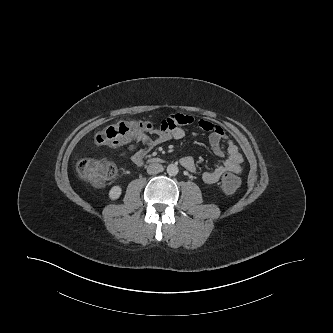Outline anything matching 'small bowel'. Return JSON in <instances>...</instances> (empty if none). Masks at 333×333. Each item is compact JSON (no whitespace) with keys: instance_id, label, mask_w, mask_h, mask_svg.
<instances>
[{"instance_id":"obj_1","label":"small bowel","mask_w":333,"mask_h":333,"mask_svg":"<svg viewBox=\"0 0 333 333\" xmlns=\"http://www.w3.org/2000/svg\"><path fill=\"white\" fill-rule=\"evenodd\" d=\"M193 118L184 114H174L161 121L160 128L153 130L150 136L143 135L136 139L135 144H130L124 151L122 156H126L128 152H133L130 160L134 165H140L144 157L156 146L164 144L170 140H180L185 136L184 125L191 124ZM198 126L209 132V143L217 158H223L222 163L217 165L213 170L206 171L202 175V180L206 184H215L219 181L223 174L227 172L238 174L241 172L242 155L239 152L237 144L227 139L223 129L210 121L199 120ZM225 142L227 156L222 150V144ZM141 143L142 148L137 150V144ZM182 166L190 172L196 170L195 161L191 156H184L181 159Z\"/></svg>"}]
</instances>
